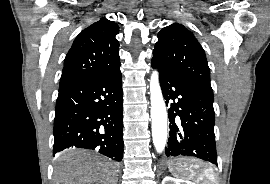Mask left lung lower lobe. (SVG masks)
Wrapping results in <instances>:
<instances>
[{"instance_id":"1","label":"left lung lower lobe","mask_w":270,"mask_h":184,"mask_svg":"<svg viewBox=\"0 0 270 184\" xmlns=\"http://www.w3.org/2000/svg\"><path fill=\"white\" fill-rule=\"evenodd\" d=\"M169 107L168 157L191 156L217 165L213 94L179 69L152 58Z\"/></svg>"}]
</instances>
